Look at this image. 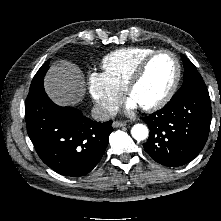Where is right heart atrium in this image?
I'll use <instances>...</instances> for the list:
<instances>
[{
	"mask_svg": "<svg viewBox=\"0 0 221 221\" xmlns=\"http://www.w3.org/2000/svg\"><path fill=\"white\" fill-rule=\"evenodd\" d=\"M88 89L98 112L104 117L114 113L123 98L124 91L116 86L105 73H90Z\"/></svg>",
	"mask_w": 221,
	"mask_h": 221,
	"instance_id": "d8ad5b80",
	"label": "right heart atrium"
}]
</instances>
